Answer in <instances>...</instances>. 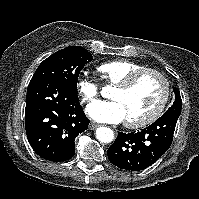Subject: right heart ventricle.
<instances>
[{"label":"right heart ventricle","instance_id":"obj_1","mask_svg":"<svg viewBox=\"0 0 199 199\" xmlns=\"http://www.w3.org/2000/svg\"><path fill=\"white\" fill-rule=\"evenodd\" d=\"M145 68L143 65L129 60H112L105 62L98 67L103 80L110 85H117L126 79L130 74Z\"/></svg>","mask_w":199,"mask_h":199}]
</instances>
